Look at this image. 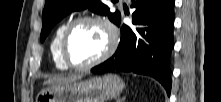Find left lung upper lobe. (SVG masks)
I'll use <instances>...</instances> for the list:
<instances>
[{"mask_svg":"<svg viewBox=\"0 0 221 102\" xmlns=\"http://www.w3.org/2000/svg\"><path fill=\"white\" fill-rule=\"evenodd\" d=\"M89 8L91 11L108 15L109 19L116 25L120 22V13H111L103 0H46L42 13L43 27L41 31V42L51 31L52 27L72 11Z\"/></svg>","mask_w":221,"mask_h":102,"instance_id":"5c2ea615","label":"left lung upper lobe"}]
</instances>
